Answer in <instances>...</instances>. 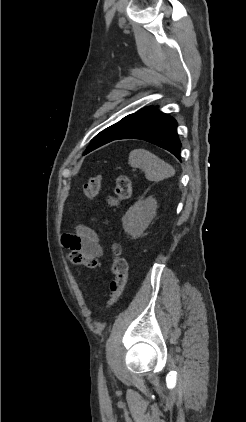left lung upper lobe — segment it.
<instances>
[{"label":"left lung upper lobe","instance_id":"5c2ea615","mask_svg":"<svg viewBox=\"0 0 246 422\" xmlns=\"http://www.w3.org/2000/svg\"><path fill=\"white\" fill-rule=\"evenodd\" d=\"M152 108L153 106L143 108L136 113H133L124 117L119 122L101 131L97 136H95L91 140L84 154H87L91 152L92 150L104 145L105 143L116 139L128 128H130L135 122H137L141 117H143L146 113H148Z\"/></svg>","mask_w":246,"mask_h":422}]
</instances>
